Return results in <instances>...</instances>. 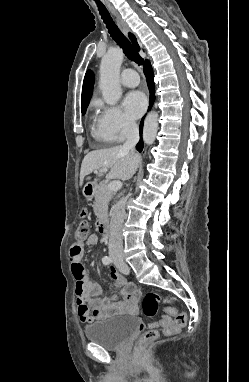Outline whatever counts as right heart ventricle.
Returning <instances> with one entry per match:
<instances>
[{
    "instance_id": "e07e8e85",
    "label": "right heart ventricle",
    "mask_w": 249,
    "mask_h": 382,
    "mask_svg": "<svg viewBox=\"0 0 249 382\" xmlns=\"http://www.w3.org/2000/svg\"><path fill=\"white\" fill-rule=\"evenodd\" d=\"M94 133H95V135H96L97 137H99V138H101V139H103V140H105V141L110 142V140H108V139L103 135V133H102V131H101V129L99 128L98 125L94 127Z\"/></svg>"
}]
</instances>
